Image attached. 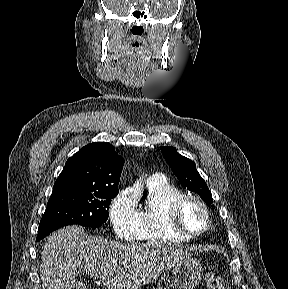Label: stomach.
I'll use <instances>...</instances> for the list:
<instances>
[{
  "label": "stomach",
  "instance_id": "stomach-1",
  "mask_svg": "<svg viewBox=\"0 0 288 289\" xmlns=\"http://www.w3.org/2000/svg\"><path fill=\"white\" fill-rule=\"evenodd\" d=\"M201 263L189 258L175 266L172 270V283L177 289H194L203 275Z\"/></svg>",
  "mask_w": 288,
  "mask_h": 289
}]
</instances>
